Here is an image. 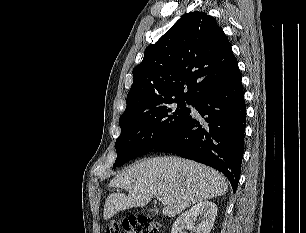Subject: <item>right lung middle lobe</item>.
Returning a JSON list of instances; mask_svg holds the SVG:
<instances>
[{
	"mask_svg": "<svg viewBox=\"0 0 306 233\" xmlns=\"http://www.w3.org/2000/svg\"><path fill=\"white\" fill-rule=\"evenodd\" d=\"M186 104L195 103L183 98L160 100L145 108L131 111L119 119L121 135L115 143L119 167L142 156L168 139L189 116Z\"/></svg>",
	"mask_w": 306,
	"mask_h": 233,
	"instance_id": "obj_1",
	"label": "right lung middle lobe"
}]
</instances>
